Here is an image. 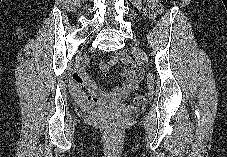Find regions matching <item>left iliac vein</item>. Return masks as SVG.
Segmentation results:
<instances>
[{"mask_svg":"<svg viewBox=\"0 0 227 157\" xmlns=\"http://www.w3.org/2000/svg\"><path fill=\"white\" fill-rule=\"evenodd\" d=\"M134 52H135L143 61H147V60H148V57H147L146 53H145L141 48H139L138 46H135V47H134Z\"/></svg>","mask_w":227,"mask_h":157,"instance_id":"1","label":"left iliac vein"}]
</instances>
